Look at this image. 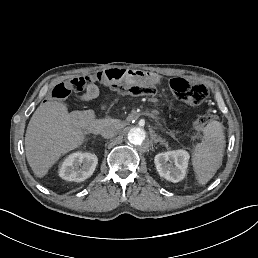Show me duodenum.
Listing matches in <instances>:
<instances>
[{
  "label": "duodenum",
  "mask_w": 258,
  "mask_h": 258,
  "mask_svg": "<svg viewBox=\"0 0 258 258\" xmlns=\"http://www.w3.org/2000/svg\"><path fill=\"white\" fill-rule=\"evenodd\" d=\"M130 78H132L130 70L124 68H112L98 73L92 78V81L100 82L106 87H112Z\"/></svg>",
  "instance_id": "1"
}]
</instances>
